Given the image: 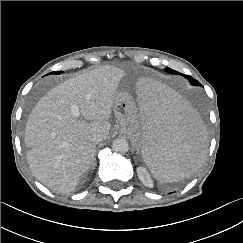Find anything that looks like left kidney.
<instances>
[{
    "instance_id": "1",
    "label": "left kidney",
    "mask_w": 243,
    "mask_h": 243,
    "mask_svg": "<svg viewBox=\"0 0 243 243\" xmlns=\"http://www.w3.org/2000/svg\"><path fill=\"white\" fill-rule=\"evenodd\" d=\"M137 174H138V177L140 179V181L146 186V187H149V188H152L153 187V181L148 173V171L146 170V168L144 167H139L137 169Z\"/></svg>"
}]
</instances>
